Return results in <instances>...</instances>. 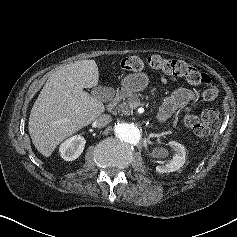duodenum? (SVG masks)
<instances>
[{
	"instance_id": "obj_1",
	"label": "duodenum",
	"mask_w": 237,
	"mask_h": 237,
	"mask_svg": "<svg viewBox=\"0 0 237 237\" xmlns=\"http://www.w3.org/2000/svg\"><path fill=\"white\" fill-rule=\"evenodd\" d=\"M121 97H122V92H117L114 98L112 99V101L110 102V105L114 107L117 104V102L121 99Z\"/></svg>"
}]
</instances>
